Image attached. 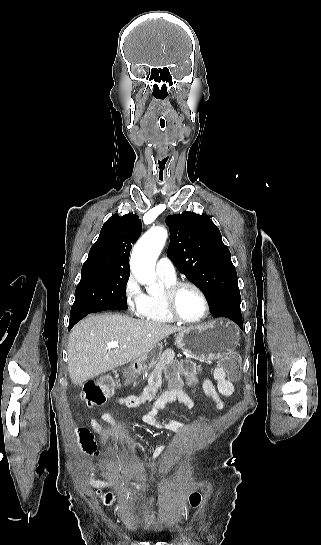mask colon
I'll use <instances>...</instances> for the list:
<instances>
[{
  "label": "colon",
  "instance_id": "5ec220e1",
  "mask_svg": "<svg viewBox=\"0 0 321 545\" xmlns=\"http://www.w3.org/2000/svg\"><path fill=\"white\" fill-rule=\"evenodd\" d=\"M221 366L232 379L239 377V359L236 355L230 354L221 361ZM113 393V387L108 379L92 380L84 384L81 397L90 407L103 404ZM80 433L85 437V441L92 446L91 436L86 429H80ZM113 499L111 493L105 495V501L110 503ZM201 501V495L194 492L189 497L190 505L196 507Z\"/></svg>",
  "mask_w": 321,
  "mask_h": 545
}]
</instances>
